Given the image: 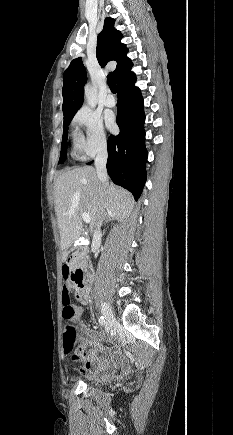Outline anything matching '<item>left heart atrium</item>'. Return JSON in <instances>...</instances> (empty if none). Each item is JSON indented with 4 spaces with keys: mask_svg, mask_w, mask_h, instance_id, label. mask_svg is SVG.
Returning a JSON list of instances; mask_svg holds the SVG:
<instances>
[{
    "mask_svg": "<svg viewBox=\"0 0 233 435\" xmlns=\"http://www.w3.org/2000/svg\"><path fill=\"white\" fill-rule=\"evenodd\" d=\"M106 123L109 127L114 126V117L113 115H106Z\"/></svg>",
    "mask_w": 233,
    "mask_h": 435,
    "instance_id": "obj_1",
    "label": "left heart atrium"
}]
</instances>
